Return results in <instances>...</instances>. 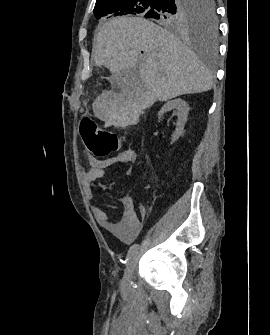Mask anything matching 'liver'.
<instances>
[{"instance_id": "6515ba94", "label": "liver", "mask_w": 270, "mask_h": 335, "mask_svg": "<svg viewBox=\"0 0 270 335\" xmlns=\"http://www.w3.org/2000/svg\"><path fill=\"white\" fill-rule=\"evenodd\" d=\"M141 50L146 58L138 72L147 104L211 90L212 76L196 54L174 34L145 18L117 16L103 24L93 58L96 66L120 74L137 70Z\"/></svg>"}]
</instances>
